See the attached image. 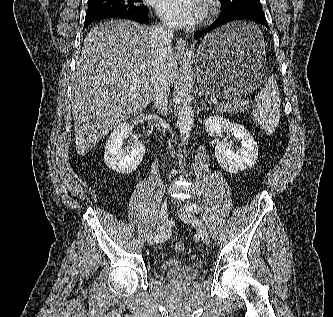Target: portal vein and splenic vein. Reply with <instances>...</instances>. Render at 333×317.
<instances>
[{"label": "portal vein and splenic vein", "mask_w": 333, "mask_h": 317, "mask_svg": "<svg viewBox=\"0 0 333 317\" xmlns=\"http://www.w3.org/2000/svg\"><path fill=\"white\" fill-rule=\"evenodd\" d=\"M214 104H217V102L216 101H214L213 102ZM247 102L246 101H241V104H246ZM255 105H253V107H254Z\"/></svg>", "instance_id": "1"}]
</instances>
